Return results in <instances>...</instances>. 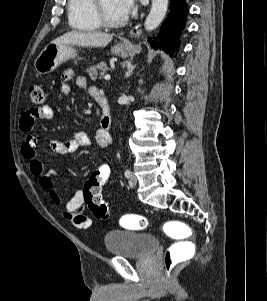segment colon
<instances>
[{
  "mask_svg": "<svg viewBox=\"0 0 267 301\" xmlns=\"http://www.w3.org/2000/svg\"><path fill=\"white\" fill-rule=\"evenodd\" d=\"M29 93L32 103L43 104L45 94L40 86H32ZM110 177V166L101 165L91 174L83 190L85 204L93 215L101 220H107L110 217L108 204L102 196V188ZM122 224L130 229L143 230L148 226V220L139 214H128L122 218ZM164 231L169 237L178 240L167 248L164 256L166 273L167 276H170L180 264L193 257L195 245L189 240L192 233L190 227L182 221L166 222Z\"/></svg>",
  "mask_w": 267,
  "mask_h": 301,
  "instance_id": "1",
  "label": "colon"
}]
</instances>
